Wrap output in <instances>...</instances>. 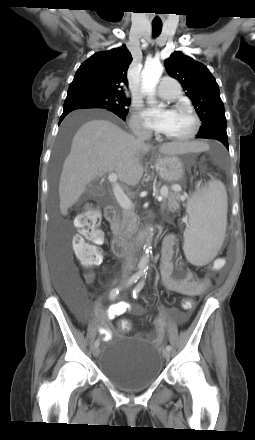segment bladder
I'll return each instance as SVG.
<instances>
[{"label":"bladder","mask_w":255,"mask_h":440,"mask_svg":"<svg viewBox=\"0 0 255 440\" xmlns=\"http://www.w3.org/2000/svg\"><path fill=\"white\" fill-rule=\"evenodd\" d=\"M99 370L118 390L137 393L159 379L163 360L151 343L138 337H123L106 341Z\"/></svg>","instance_id":"31cf9c89"}]
</instances>
